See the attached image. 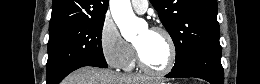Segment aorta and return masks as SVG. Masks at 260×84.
<instances>
[{
	"label": "aorta",
	"mask_w": 260,
	"mask_h": 84,
	"mask_svg": "<svg viewBox=\"0 0 260 84\" xmlns=\"http://www.w3.org/2000/svg\"><path fill=\"white\" fill-rule=\"evenodd\" d=\"M109 5L122 36L128 41L135 39L140 31L141 22L135 16L130 0H110Z\"/></svg>",
	"instance_id": "1"
}]
</instances>
